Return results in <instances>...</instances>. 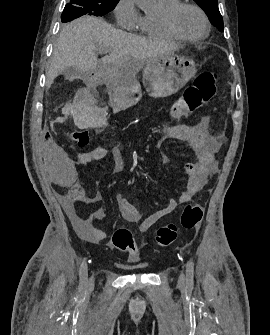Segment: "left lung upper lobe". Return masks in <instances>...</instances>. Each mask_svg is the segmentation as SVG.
Segmentation results:
<instances>
[{
	"mask_svg": "<svg viewBox=\"0 0 270 335\" xmlns=\"http://www.w3.org/2000/svg\"><path fill=\"white\" fill-rule=\"evenodd\" d=\"M198 6H200L207 14L211 24L217 27L220 31H223V19L219 12L217 0H195Z\"/></svg>",
	"mask_w": 270,
	"mask_h": 335,
	"instance_id": "5c2ea615",
	"label": "left lung upper lobe"
}]
</instances>
